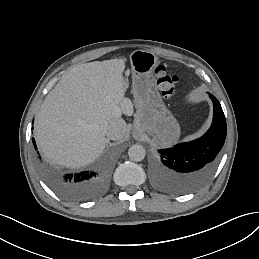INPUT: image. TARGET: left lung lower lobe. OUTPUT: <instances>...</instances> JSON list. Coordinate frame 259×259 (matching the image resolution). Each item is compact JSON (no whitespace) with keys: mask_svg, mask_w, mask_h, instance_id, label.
Here are the masks:
<instances>
[{"mask_svg":"<svg viewBox=\"0 0 259 259\" xmlns=\"http://www.w3.org/2000/svg\"><path fill=\"white\" fill-rule=\"evenodd\" d=\"M210 98L214 110L209 130L196 140L158 150L160 155L152 164V176L160 188L174 193L192 190L216 169L227 127L219 101L213 95Z\"/></svg>","mask_w":259,"mask_h":259,"instance_id":"1","label":"left lung lower lobe"}]
</instances>
